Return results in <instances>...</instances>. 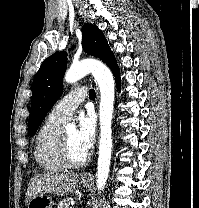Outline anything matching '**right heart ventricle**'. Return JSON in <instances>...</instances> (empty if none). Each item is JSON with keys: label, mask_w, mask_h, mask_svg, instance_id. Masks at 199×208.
Returning a JSON list of instances; mask_svg holds the SVG:
<instances>
[{"label": "right heart ventricle", "mask_w": 199, "mask_h": 208, "mask_svg": "<svg viewBox=\"0 0 199 208\" xmlns=\"http://www.w3.org/2000/svg\"><path fill=\"white\" fill-rule=\"evenodd\" d=\"M63 124L64 122L60 120L48 117L37 134L35 160L39 167L47 173L61 172L66 169L59 153Z\"/></svg>", "instance_id": "1"}]
</instances>
